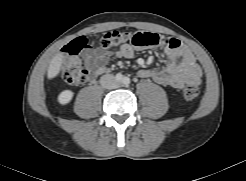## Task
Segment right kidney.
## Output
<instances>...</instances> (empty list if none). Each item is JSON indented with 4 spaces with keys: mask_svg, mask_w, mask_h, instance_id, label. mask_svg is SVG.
Returning a JSON list of instances; mask_svg holds the SVG:
<instances>
[{
    "mask_svg": "<svg viewBox=\"0 0 246 181\" xmlns=\"http://www.w3.org/2000/svg\"><path fill=\"white\" fill-rule=\"evenodd\" d=\"M73 95L74 93L71 90H64L58 95V102L61 105H66L72 100Z\"/></svg>",
    "mask_w": 246,
    "mask_h": 181,
    "instance_id": "1",
    "label": "right kidney"
}]
</instances>
